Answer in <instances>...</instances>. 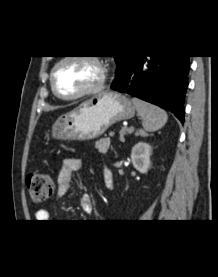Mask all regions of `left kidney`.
Returning <instances> with one entry per match:
<instances>
[{
  "label": "left kidney",
  "instance_id": "left-kidney-1",
  "mask_svg": "<svg viewBox=\"0 0 218 277\" xmlns=\"http://www.w3.org/2000/svg\"><path fill=\"white\" fill-rule=\"evenodd\" d=\"M151 147L145 142L137 143L131 151V160L134 168L140 173H147L150 167Z\"/></svg>",
  "mask_w": 218,
  "mask_h": 277
}]
</instances>
